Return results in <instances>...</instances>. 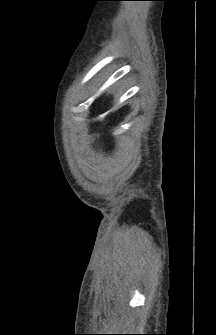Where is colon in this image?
I'll use <instances>...</instances> for the list:
<instances>
[{
	"label": "colon",
	"instance_id": "obj_1",
	"mask_svg": "<svg viewBox=\"0 0 216 335\" xmlns=\"http://www.w3.org/2000/svg\"><path fill=\"white\" fill-rule=\"evenodd\" d=\"M89 160L90 161H99L100 160V155L99 154H90L89 155Z\"/></svg>",
	"mask_w": 216,
	"mask_h": 335
}]
</instances>
